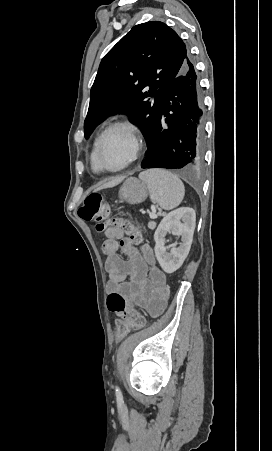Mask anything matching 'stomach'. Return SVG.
<instances>
[{
    "mask_svg": "<svg viewBox=\"0 0 272 451\" xmlns=\"http://www.w3.org/2000/svg\"><path fill=\"white\" fill-rule=\"evenodd\" d=\"M148 188L145 182L137 178H127L119 190V198L128 204H141L148 196Z\"/></svg>",
    "mask_w": 272,
    "mask_h": 451,
    "instance_id": "obj_1",
    "label": "stomach"
}]
</instances>
